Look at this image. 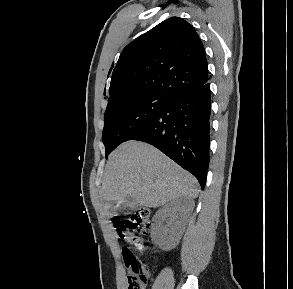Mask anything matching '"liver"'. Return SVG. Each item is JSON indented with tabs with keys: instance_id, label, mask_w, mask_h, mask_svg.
Wrapping results in <instances>:
<instances>
[{
	"instance_id": "1",
	"label": "liver",
	"mask_w": 293,
	"mask_h": 289,
	"mask_svg": "<svg viewBox=\"0 0 293 289\" xmlns=\"http://www.w3.org/2000/svg\"><path fill=\"white\" fill-rule=\"evenodd\" d=\"M100 193L106 203L131 195L138 205L156 208L178 197L196 198L199 189L196 178L158 149L128 141L110 154Z\"/></svg>"
}]
</instances>
